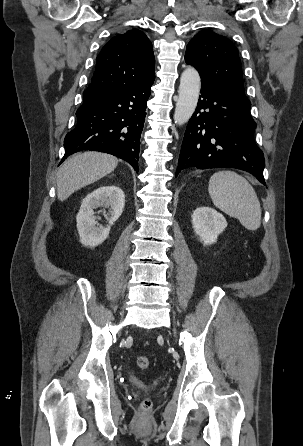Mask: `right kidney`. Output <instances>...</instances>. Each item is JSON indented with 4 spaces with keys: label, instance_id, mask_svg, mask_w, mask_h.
<instances>
[{
    "label": "right kidney",
    "instance_id": "ca27d5eb",
    "mask_svg": "<svg viewBox=\"0 0 303 446\" xmlns=\"http://www.w3.org/2000/svg\"><path fill=\"white\" fill-rule=\"evenodd\" d=\"M125 205L124 192L117 186H101L88 194L82 201L76 216L80 242L86 247H95L104 242L111 225L121 216ZM110 208L109 225H97L94 209Z\"/></svg>",
    "mask_w": 303,
    "mask_h": 446
}]
</instances>
